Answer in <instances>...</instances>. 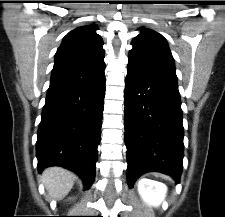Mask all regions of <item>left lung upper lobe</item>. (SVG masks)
<instances>
[{"instance_id": "1", "label": "left lung upper lobe", "mask_w": 225, "mask_h": 217, "mask_svg": "<svg viewBox=\"0 0 225 217\" xmlns=\"http://www.w3.org/2000/svg\"><path fill=\"white\" fill-rule=\"evenodd\" d=\"M140 30L141 33L132 41L128 69L143 74L161 75L176 81L174 59L165 38L153 30Z\"/></svg>"}]
</instances>
